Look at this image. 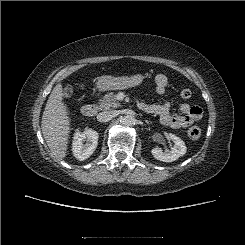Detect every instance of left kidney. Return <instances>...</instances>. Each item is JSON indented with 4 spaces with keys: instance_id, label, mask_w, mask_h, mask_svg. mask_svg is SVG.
<instances>
[{
    "instance_id": "5707ae66",
    "label": "left kidney",
    "mask_w": 245,
    "mask_h": 245,
    "mask_svg": "<svg viewBox=\"0 0 245 245\" xmlns=\"http://www.w3.org/2000/svg\"><path fill=\"white\" fill-rule=\"evenodd\" d=\"M169 137L174 142L173 148L164 152L159 148H153L151 153L155 159L163 162H173L179 157L185 155L187 148L184 141L171 133L169 134Z\"/></svg>"
}]
</instances>
